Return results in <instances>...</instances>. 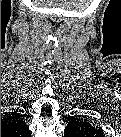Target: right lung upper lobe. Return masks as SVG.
Here are the masks:
<instances>
[{
	"mask_svg": "<svg viewBox=\"0 0 121 137\" xmlns=\"http://www.w3.org/2000/svg\"><path fill=\"white\" fill-rule=\"evenodd\" d=\"M4 132L8 133H18V132H28V128L23 123L20 116L10 115L1 120V134Z\"/></svg>",
	"mask_w": 121,
	"mask_h": 137,
	"instance_id": "right-lung-upper-lobe-1",
	"label": "right lung upper lobe"
}]
</instances>
